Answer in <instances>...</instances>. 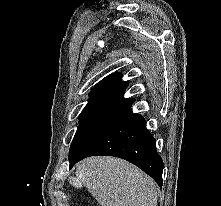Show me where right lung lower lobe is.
<instances>
[{
	"label": "right lung lower lobe",
	"mask_w": 221,
	"mask_h": 206,
	"mask_svg": "<svg viewBox=\"0 0 221 206\" xmlns=\"http://www.w3.org/2000/svg\"><path fill=\"white\" fill-rule=\"evenodd\" d=\"M108 155L125 159L150 175L162 187L163 161L157 153L155 139L146 129L145 119L131 108L101 133L76 159L70 168L86 157Z\"/></svg>",
	"instance_id": "98d812e1"
}]
</instances>
